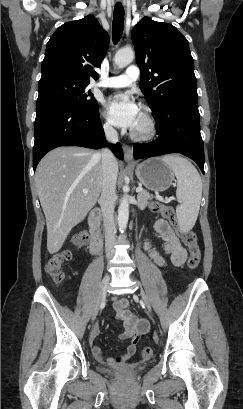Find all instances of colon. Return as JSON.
Segmentation results:
<instances>
[{"instance_id":"5ec220e1","label":"colon","mask_w":243,"mask_h":409,"mask_svg":"<svg viewBox=\"0 0 243 409\" xmlns=\"http://www.w3.org/2000/svg\"><path fill=\"white\" fill-rule=\"evenodd\" d=\"M151 210L155 214H159L162 217L166 218L170 223L176 228L178 235L180 236L183 244L189 249V259L188 267L190 269H195L198 267L201 260V251L197 243V236L193 230H180L176 222V214L174 209L166 204H162L158 201L151 203ZM87 235L81 234L75 237L74 243L78 249H81L87 243ZM71 258L70 250H61L55 253L48 260L45 270L50 278L56 283L61 284L65 275L62 271V265L64 262L68 261ZM141 357L145 360H148L153 355V350L150 347H142L140 351Z\"/></svg>"}]
</instances>
